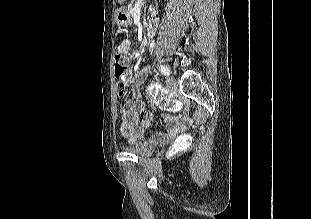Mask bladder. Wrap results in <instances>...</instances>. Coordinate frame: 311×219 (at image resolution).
Wrapping results in <instances>:
<instances>
[{
  "label": "bladder",
  "mask_w": 311,
  "mask_h": 219,
  "mask_svg": "<svg viewBox=\"0 0 311 219\" xmlns=\"http://www.w3.org/2000/svg\"><path fill=\"white\" fill-rule=\"evenodd\" d=\"M156 147L155 144H136V145H131V146H126L124 147V150L127 153L139 156V157H144L149 155L153 149Z\"/></svg>",
  "instance_id": "obj_1"
}]
</instances>
